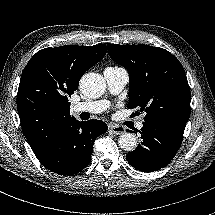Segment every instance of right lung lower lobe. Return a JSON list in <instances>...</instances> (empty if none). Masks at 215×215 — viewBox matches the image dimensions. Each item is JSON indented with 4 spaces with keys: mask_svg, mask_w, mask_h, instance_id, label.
<instances>
[{
    "mask_svg": "<svg viewBox=\"0 0 215 215\" xmlns=\"http://www.w3.org/2000/svg\"><path fill=\"white\" fill-rule=\"evenodd\" d=\"M101 120L68 122L37 156L51 172L72 176L88 166L95 139L107 131Z\"/></svg>",
    "mask_w": 215,
    "mask_h": 215,
    "instance_id": "1",
    "label": "right lung lower lobe"
}]
</instances>
